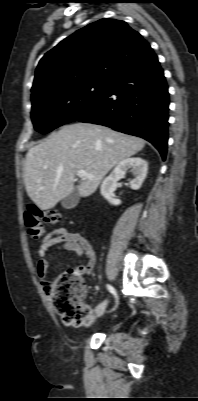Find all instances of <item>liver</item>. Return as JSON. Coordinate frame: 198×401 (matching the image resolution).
<instances>
[{"mask_svg": "<svg viewBox=\"0 0 198 401\" xmlns=\"http://www.w3.org/2000/svg\"><path fill=\"white\" fill-rule=\"evenodd\" d=\"M144 146L143 139L108 127L65 125L27 152L23 172L27 194L41 209H51L72 193L77 171L84 170L93 178H84L77 189L81 197L90 196L114 166Z\"/></svg>", "mask_w": 198, "mask_h": 401, "instance_id": "1", "label": "liver"}]
</instances>
